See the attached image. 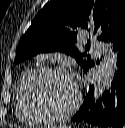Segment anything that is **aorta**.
I'll list each match as a JSON object with an SVG mask.
<instances>
[{"mask_svg": "<svg viewBox=\"0 0 125 128\" xmlns=\"http://www.w3.org/2000/svg\"><path fill=\"white\" fill-rule=\"evenodd\" d=\"M116 70V54L112 51L108 52L104 63L102 64L101 70V86L98 91V96L101 97L103 90L109 89L111 85L112 78Z\"/></svg>", "mask_w": 125, "mask_h": 128, "instance_id": "1", "label": "aorta"}]
</instances>
